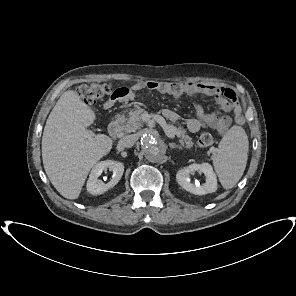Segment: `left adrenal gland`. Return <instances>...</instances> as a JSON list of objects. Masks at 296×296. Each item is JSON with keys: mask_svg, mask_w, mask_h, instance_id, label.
I'll return each instance as SVG.
<instances>
[{"mask_svg": "<svg viewBox=\"0 0 296 296\" xmlns=\"http://www.w3.org/2000/svg\"><path fill=\"white\" fill-rule=\"evenodd\" d=\"M169 147H170L171 149H174V148L182 149V146H181V145H177V144H175V143H169Z\"/></svg>", "mask_w": 296, "mask_h": 296, "instance_id": "obj_1", "label": "left adrenal gland"}]
</instances>
